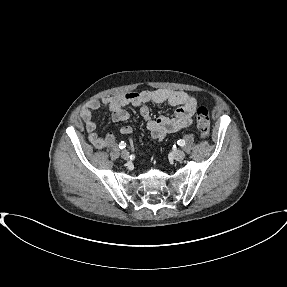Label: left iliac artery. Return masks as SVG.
<instances>
[{
    "label": "left iliac artery",
    "mask_w": 287,
    "mask_h": 287,
    "mask_svg": "<svg viewBox=\"0 0 287 287\" xmlns=\"http://www.w3.org/2000/svg\"><path fill=\"white\" fill-rule=\"evenodd\" d=\"M177 144H178L179 146H184V145H185V141L182 140V139H180V140L177 141Z\"/></svg>",
    "instance_id": "44dca946"
}]
</instances>
